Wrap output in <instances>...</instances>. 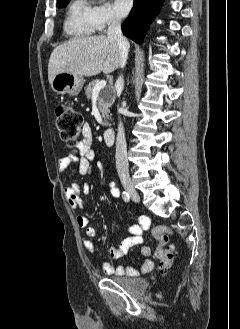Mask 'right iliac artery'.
<instances>
[{"label": "right iliac artery", "mask_w": 240, "mask_h": 329, "mask_svg": "<svg viewBox=\"0 0 240 329\" xmlns=\"http://www.w3.org/2000/svg\"><path fill=\"white\" fill-rule=\"evenodd\" d=\"M122 197H123L125 202H129L130 197H129V194L127 192L124 191L122 193Z\"/></svg>", "instance_id": "obj_1"}]
</instances>
